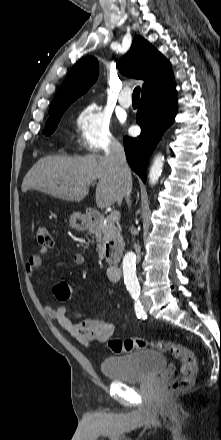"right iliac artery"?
Returning a JSON list of instances; mask_svg holds the SVG:
<instances>
[{
	"label": "right iliac artery",
	"instance_id": "right-iliac-artery-1",
	"mask_svg": "<svg viewBox=\"0 0 221 440\" xmlns=\"http://www.w3.org/2000/svg\"><path fill=\"white\" fill-rule=\"evenodd\" d=\"M135 312L138 318H147L146 312L144 311L140 301H137V298H135Z\"/></svg>",
	"mask_w": 221,
	"mask_h": 440
}]
</instances>
